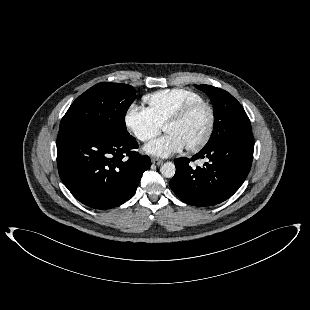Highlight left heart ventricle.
I'll use <instances>...</instances> for the list:
<instances>
[{"label": "left heart ventricle", "instance_id": "b2bd125f", "mask_svg": "<svg viewBox=\"0 0 310 310\" xmlns=\"http://www.w3.org/2000/svg\"><path fill=\"white\" fill-rule=\"evenodd\" d=\"M209 123V114L206 108L202 107L193 112L184 121L168 125L165 132L176 135L184 147L197 143L205 134Z\"/></svg>", "mask_w": 310, "mask_h": 310}]
</instances>
